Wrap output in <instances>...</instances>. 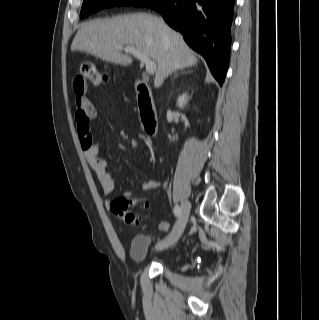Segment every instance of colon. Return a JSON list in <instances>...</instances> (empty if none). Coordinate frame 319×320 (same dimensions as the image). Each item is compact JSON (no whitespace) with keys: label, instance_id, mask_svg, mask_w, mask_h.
<instances>
[{"label":"colon","instance_id":"obj_1","mask_svg":"<svg viewBox=\"0 0 319 320\" xmlns=\"http://www.w3.org/2000/svg\"><path fill=\"white\" fill-rule=\"evenodd\" d=\"M109 81V74L99 70L97 64L93 61H84L79 66V75L75 80V85L83 87L90 83L94 86L105 84ZM79 134L83 142L87 145L91 144L94 140V135L90 126L89 119L82 115L79 126ZM140 200H133L124 197L114 199L110 204L112 213L120 217L127 225H136L140 222V218L133 213L131 208L139 204ZM169 224L160 222L158 228L160 231H168Z\"/></svg>","mask_w":319,"mask_h":320}]
</instances>
